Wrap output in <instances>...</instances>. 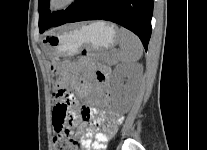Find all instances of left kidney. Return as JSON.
Returning a JSON list of instances; mask_svg holds the SVG:
<instances>
[{"label": "left kidney", "instance_id": "1", "mask_svg": "<svg viewBox=\"0 0 207 150\" xmlns=\"http://www.w3.org/2000/svg\"><path fill=\"white\" fill-rule=\"evenodd\" d=\"M142 68L139 64H118L113 72L112 102L115 110L120 114H126L136 97ZM124 78L127 83L123 85Z\"/></svg>", "mask_w": 207, "mask_h": 150}]
</instances>
